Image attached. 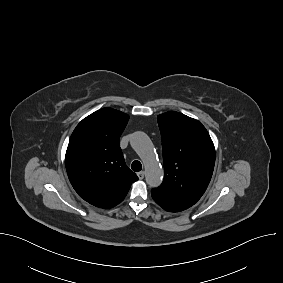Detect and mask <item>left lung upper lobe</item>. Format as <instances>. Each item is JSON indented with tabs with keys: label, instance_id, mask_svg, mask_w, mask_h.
Segmentation results:
<instances>
[{
	"label": "left lung upper lobe",
	"instance_id": "5c2ea615",
	"mask_svg": "<svg viewBox=\"0 0 283 283\" xmlns=\"http://www.w3.org/2000/svg\"><path fill=\"white\" fill-rule=\"evenodd\" d=\"M162 137L164 180L152 189L169 205L183 211L204 194L215 164L209 133L196 119L179 112L157 116Z\"/></svg>",
	"mask_w": 283,
	"mask_h": 283
}]
</instances>
